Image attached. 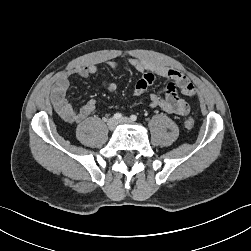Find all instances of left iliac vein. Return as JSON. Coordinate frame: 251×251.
Masks as SVG:
<instances>
[{
  "instance_id": "4c4485c4",
  "label": "left iliac vein",
  "mask_w": 251,
  "mask_h": 251,
  "mask_svg": "<svg viewBox=\"0 0 251 251\" xmlns=\"http://www.w3.org/2000/svg\"><path fill=\"white\" fill-rule=\"evenodd\" d=\"M129 122H130V120L127 117H124L121 120H119L120 124H125V123H129Z\"/></svg>"
}]
</instances>
